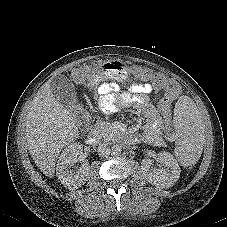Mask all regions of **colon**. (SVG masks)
I'll use <instances>...</instances> for the list:
<instances>
[{
  "instance_id": "obj_1",
  "label": "colon",
  "mask_w": 227,
  "mask_h": 227,
  "mask_svg": "<svg viewBox=\"0 0 227 227\" xmlns=\"http://www.w3.org/2000/svg\"><path fill=\"white\" fill-rule=\"evenodd\" d=\"M90 71L93 72V76L95 77L102 71V66L76 67L71 70L70 78L75 83L81 84L85 82ZM142 74L144 77L152 79L156 85L162 86L167 90V94L163 96V101L159 104V111L160 117L163 119V125L165 126L166 146L169 149H175L177 147V142L174 138V122L172 121L174 110L171 103L172 99L180 94V86L175 80L169 79L164 74L150 69L144 70ZM73 113L79 124L82 127L87 128L89 123L88 111L81 105H75L73 107Z\"/></svg>"
}]
</instances>
